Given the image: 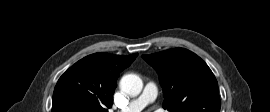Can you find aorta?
<instances>
[{"mask_svg": "<svg viewBox=\"0 0 270 112\" xmlns=\"http://www.w3.org/2000/svg\"><path fill=\"white\" fill-rule=\"evenodd\" d=\"M143 88L141 78L135 74H126L120 80V89L125 94L137 96Z\"/></svg>", "mask_w": 270, "mask_h": 112, "instance_id": "762f6f07", "label": "aorta"}]
</instances>
